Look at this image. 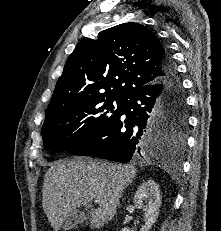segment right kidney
<instances>
[{"label":"right kidney","mask_w":221,"mask_h":231,"mask_svg":"<svg viewBox=\"0 0 221 231\" xmlns=\"http://www.w3.org/2000/svg\"><path fill=\"white\" fill-rule=\"evenodd\" d=\"M134 203L142 208L145 215V225L140 231H149L156 222L161 206V194L158 184L148 180L141 184L134 195ZM121 231H129L123 228Z\"/></svg>","instance_id":"obj_1"}]
</instances>
